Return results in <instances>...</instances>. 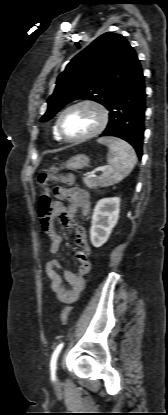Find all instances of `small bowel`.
<instances>
[{
	"mask_svg": "<svg viewBox=\"0 0 168 415\" xmlns=\"http://www.w3.org/2000/svg\"><path fill=\"white\" fill-rule=\"evenodd\" d=\"M54 197L59 201L54 202L56 209V218L68 227L75 230L76 244L79 248L77 257L79 266L76 273L69 269H63V265L59 259H51L46 264V275L50 281V286L57 299L65 304L75 302L84 287V276L89 272L91 264L88 256L91 254V246L88 242L86 231L83 227L77 225L74 216L78 210L86 216L90 213L91 202L87 192L78 187H57L53 191ZM61 201H68L69 206L66 209ZM42 230L50 238L49 251L56 254L60 250L61 237L56 233L53 222L48 228H44L41 223ZM63 269V274H59V270ZM67 283V286L65 283Z\"/></svg>",
	"mask_w": 168,
	"mask_h": 415,
	"instance_id": "obj_1",
	"label": "small bowel"
}]
</instances>
